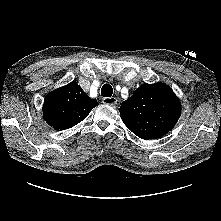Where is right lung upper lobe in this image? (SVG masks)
<instances>
[{
  "mask_svg": "<svg viewBox=\"0 0 221 221\" xmlns=\"http://www.w3.org/2000/svg\"><path fill=\"white\" fill-rule=\"evenodd\" d=\"M98 105L75 82L60 87L46 96L43 118L55 130L71 128L84 120Z\"/></svg>",
  "mask_w": 221,
  "mask_h": 221,
  "instance_id": "right-lung-upper-lobe-1",
  "label": "right lung upper lobe"
}]
</instances>
